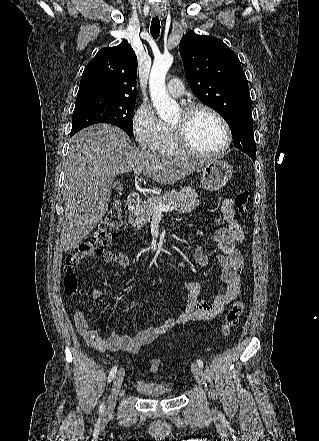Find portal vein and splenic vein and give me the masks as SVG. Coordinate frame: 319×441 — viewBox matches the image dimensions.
Wrapping results in <instances>:
<instances>
[{
  "instance_id": "18ae733b",
  "label": "portal vein and splenic vein",
  "mask_w": 319,
  "mask_h": 441,
  "mask_svg": "<svg viewBox=\"0 0 319 441\" xmlns=\"http://www.w3.org/2000/svg\"><path fill=\"white\" fill-rule=\"evenodd\" d=\"M142 172V169L140 168H135L134 169V174L139 175ZM175 209L173 207H169V206H163L161 204H156L155 205V214H161L162 212H172Z\"/></svg>"
}]
</instances>
